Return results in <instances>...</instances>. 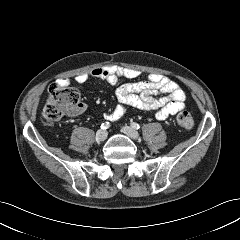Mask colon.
Instances as JSON below:
<instances>
[{"mask_svg": "<svg viewBox=\"0 0 240 240\" xmlns=\"http://www.w3.org/2000/svg\"><path fill=\"white\" fill-rule=\"evenodd\" d=\"M80 108V93L76 88L63 84H52L47 93L42 118L46 124L59 122L63 116L74 113ZM177 123L184 129H191L194 125L192 115L187 111H180L176 116Z\"/></svg>", "mask_w": 240, "mask_h": 240, "instance_id": "obj_1", "label": "colon"}]
</instances>
